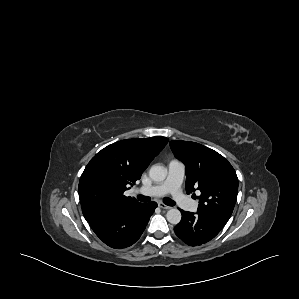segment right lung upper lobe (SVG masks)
I'll return each instance as SVG.
<instances>
[{"label": "right lung upper lobe", "mask_w": 299, "mask_h": 299, "mask_svg": "<svg viewBox=\"0 0 299 299\" xmlns=\"http://www.w3.org/2000/svg\"><path fill=\"white\" fill-rule=\"evenodd\" d=\"M167 142L168 138L161 136L126 139L99 151L86 166L78 185L85 219L137 202L126 197L124 191L140 179Z\"/></svg>", "instance_id": "cb5924a9"}]
</instances>
